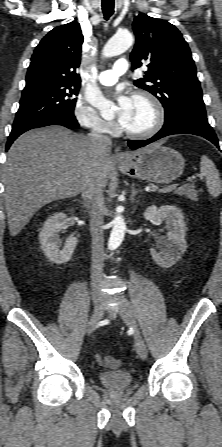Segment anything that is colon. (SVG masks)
<instances>
[{"label":"colon","instance_id":"obj_1","mask_svg":"<svg viewBox=\"0 0 222 447\" xmlns=\"http://www.w3.org/2000/svg\"><path fill=\"white\" fill-rule=\"evenodd\" d=\"M97 360L101 365L110 369H116L121 364L120 360L116 357L98 356Z\"/></svg>","mask_w":222,"mask_h":447}]
</instances>
